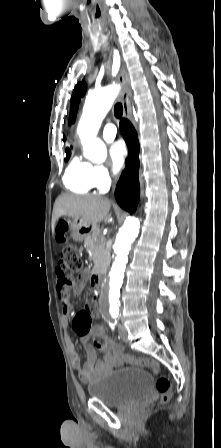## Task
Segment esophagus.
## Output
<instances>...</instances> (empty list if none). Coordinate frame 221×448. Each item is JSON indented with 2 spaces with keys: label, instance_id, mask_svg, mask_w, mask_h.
<instances>
[{
  "label": "esophagus",
  "instance_id": "obj_1",
  "mask_svg": "<svg viewBox=\"0 0 221 448\" xmlns=\"http://www.w3.org/2000/svg\"><path fill=\"white\" fill-rule=\"evenodd\" d=\"M117 81L120 86V98L122 100L123 104V113L124 117L129 119L130 117V85H129V79L128 74L125 69V66L122 64L120 67V70L117 74Z\"/></svg>",
  "mask_w": 221,
  "mask_h": 448
}]
</instances>
